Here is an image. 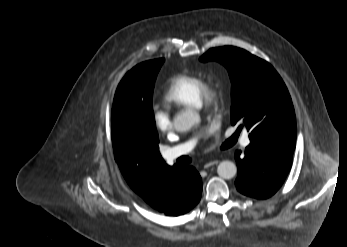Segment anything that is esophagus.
<instances>
[{
	"label": "esophagus",
	"instance_id": "obj_1",
	"mask_svg": "<svg viewBox=\"0 0 347 247\" xmlns=\"http://www.w3.org/2000/svg\"><path fill=\"white\" fill-rule=\"evenodd\" d=\"M218 163H219L218 160H210L204 164V168L208 169L209 167H211L213 165H217Z\"/></svg>",
	"mask_w": 347,
	"mask_h": 247
}]
</instances>
